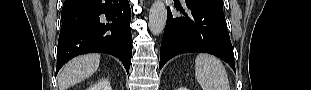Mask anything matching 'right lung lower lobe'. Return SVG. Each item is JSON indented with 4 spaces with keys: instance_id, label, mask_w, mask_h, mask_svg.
Returning <instances> with one entry per match:
<instances>
[{
    "instance_id": "1",
    "label": "right lung lower lobe",
    "mask_w": 311,
    "mask_h": 90,
    "mask_svg": "<svg viewBox=\"0 0 311 90\" xmlns=\"http://www.w3.org/2000/svg\"><path fill=\"white\" fill-rule=\"evenodd\" d=\"M57 49V68L85 53L118 57L127 73L132 56L128 0H65Z\"/></svg>"
}]
</instances>
